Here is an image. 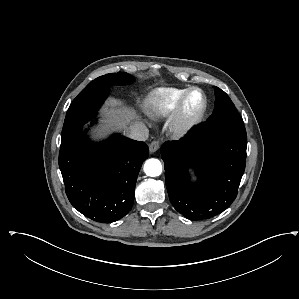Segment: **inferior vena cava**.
Listing matches in <instances>:
<instances>
[{
  "label": "inferior vena cava",
  "instance_id": "obj_1",
  "mask_svg": "<svg viewBox=\"0 0 299 299\" xmlns=\"http://www.w3.org/2000/svg\"><path fill=\"white\" fill-rule=\"evenodd\" d=\"M128 137L138 141H145L149 137V130L144 124H133L128 130Z\"/></svg>",
  "mask_w": 299,
  "mask_h": 299
}]
</instances>
